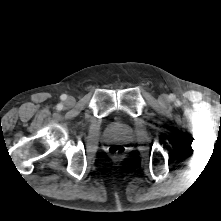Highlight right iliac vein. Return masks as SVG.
<instances>
[{
	"label": "right iliac vein",
	"instance_id": "1",
	"mask_svg": "<svg viewBox=\"0 0 221 221\" xmlns=\"http://www.w3.org/2000/svg\"><path fill=\"white\" fill-rule=\"evenodd\" d=\"M74 102H75V99L73 97H68L67 100H66V103L68 105H72Z\"/></svg>",
	"mask_w": 221,
	"mask_h": 221
}]
</instances>
